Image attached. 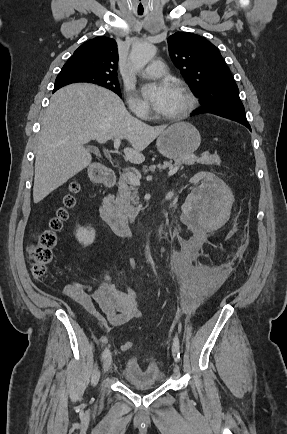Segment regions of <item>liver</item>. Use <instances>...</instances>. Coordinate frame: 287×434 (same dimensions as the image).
<instances>
[{"mask_svg": "<svg viewBox=\"0 0 287 434\" xmlns=\"http://www.w3.org/2000/svg\"><path fill=\"white\" fill-rule=\"evenodd\" d=\"M35 160L34 203L90 165L85 148L91 140L105 143L125 138L124 149L132 163L144 161L141 153L166 126L152 127L133 117L113 92L91 84H73L58 90L42 116Z\"/></svg>", "mask_w": 287, "mask_h": 434, "instance_id": "liver-1", "label": "liver"}]
</instances>
